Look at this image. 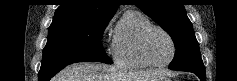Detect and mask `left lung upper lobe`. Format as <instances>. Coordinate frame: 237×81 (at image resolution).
<instances>
[{"instance_id":"obj_1","label":"left lung upper lobe","mask_w":237,"mask_h":81,"mask_svg":"<svg viewBox=\"0 0 237 81\" xmlns=\"http://www.w3.org/2000/svg\"><path fill=\"white\" fill-rule=\"evenodd\" d=\"M136 6L171 36L176 52L169 69L205 72L192 24L179 0H136Z\"/></svg>"}]
</instances>
